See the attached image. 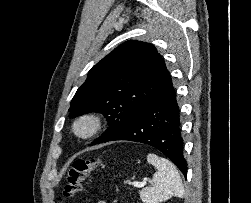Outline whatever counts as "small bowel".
<instances>
[{
  "instance_id": "obj_1",
  "label": "small bowel",
  "mask_w": 251,
  "mask_h": 203,
  "mask_svg": "<svg viewBox=\"0 0 251 203\" xmlns=\"http://www.w3.org/2000/svg\"><path fill=\"white\" fill-rule=\"evenodd\" d=\"M99 203H107V202H105V201H101V202H99Z\"/></svg>"
}]
</instances>
